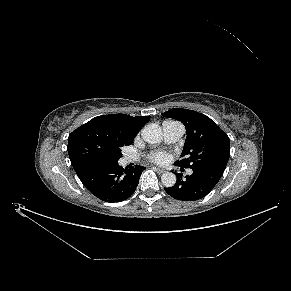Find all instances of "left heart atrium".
Wrapping results in <instances>:
<instances>
[{
  "mask_svg": "<svg viewBox=\"0 0 291 291\" xmlns=\"http://www.w3.org/2000/svg\"><path fill=\"white\" fill-rule=\"evenodd\" d=\"M150 160L156 163H165L168 159V155L164 152H153L149 156Z\"/></svg>",
  "mask_w": 291,
  "mask_h": 291,
  "instance_id": "39dd6f15",
  "label": "left heart atrium"
}]
</instances>
